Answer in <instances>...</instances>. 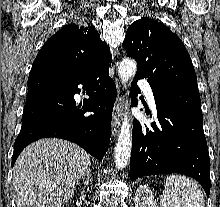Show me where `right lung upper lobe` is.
<instances>
[{
  "mask_svg": "<svg viewBox=\"0 0 220 207\" xmlns=\"http://www.w3.org/2000/svg\"><path fill=\"white\" fill-rule=\"evenodd\" d=\"M111 61L109 46L101 40L93 25L68 24L44 43L30 74L56 72L79 75L98 63Z\"/></svg>",
  "mask_w": 220,
  "mask_h": 207,
  "instance_id": "cb5924a9",
  "label": "right lung upper lobe"
}]
</instances>
